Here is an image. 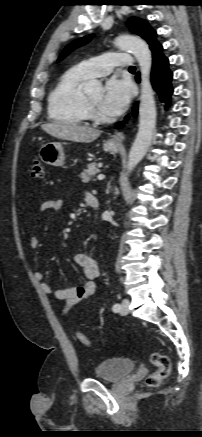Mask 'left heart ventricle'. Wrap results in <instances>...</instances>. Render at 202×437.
<instances>
[{
  "mask_svg": "<svg viewBox=\"0 0 202 437\" xmlns=\"http://www.w3.org/2000/svg\"><path fill=\"white\" fill-rule=\"evenodd\" d=\"M87 97L93 102L95 103L98 107H100V103L103 97V93L102 92H95V93H91L88 94Z\"/></svg>",
  "mask_w": 202,
  "mask_h": 437,
  "instance_id": "obj_1",
  "label": "left heart ventricle"
}]
</instances>
